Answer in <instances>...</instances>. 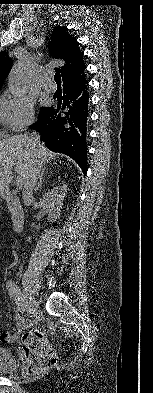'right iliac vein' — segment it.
I'll return each instance as SVG.
<instances>
[{"label": "right iliac vein", "mask_w": 153, "mask_h": 393, "mask_svg": "<svg viewBox=\"0 0 153 393\" xmlns=\"http://www.w3.org/2000/svg\"><path fill=\"white\" fill-rule=\"evenodd\" d=\"M23 295L26 298L25 299L26 301H25V303L23 304V306L21 308L22 309L28 308L29 310H33L35 308V306H36V301L32 297L28 287H24Z\"/></svg>", "instance_id": "63e3f726"}]
</instances>
